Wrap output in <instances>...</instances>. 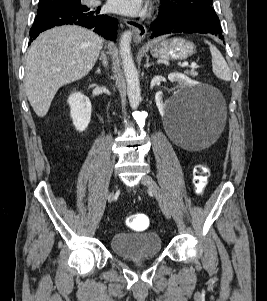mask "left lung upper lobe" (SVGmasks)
I'll return each instance as SVG.
<instances>
[{"label": "left lung upper lobe", "instance_id": "obj_1", "mask_svg": "<svg viewBox=\"0 0 267 301\" xmlns=\"http://www.w3.org/2000/svg\"><path fill=\"white\" fill-rule=\"evenodd\" d=\"M162 7L159 13L167 17L197 18L203 22L216 27H221L219 18L216 15L212 0H161Z\"/></svg>", "mask_w": 267, "mask_h": 301}]
</instances>
